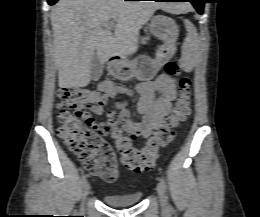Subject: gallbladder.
<instances>
[{"label":"gallbladder","instance_id":"bac80fb5","mask_svg":"<svg viewBox=\"0 0 260 217\" xmlns=\"http://www.w3.org/2000/svg\"><path fill=\"white\" fill-rule=\"evenodd\" d=\"M103 74V65L100 62V59L95 55L91 62L90 67V76L92 81H98Z\"/></svg>","mask_w":260,"mask_h":217}]
</instances>
